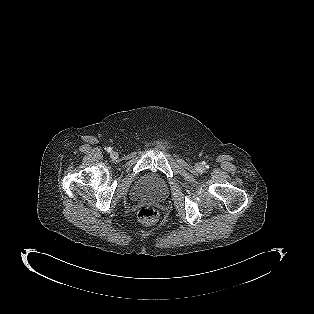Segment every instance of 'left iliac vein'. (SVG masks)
<instances>
[{"mask_svg":"<svg viewBox=\"0 0 314 314\" xmlns=\"http://www.w3.org/2000/svg\"><path fill=\"white\" fill-rule=\"evenodd\" d=\"M196 169H197V170H201V169H202V166H201L200 164H197V165H196Z\"/></svg>","mask_w":314,"mask_h":314,"instance_id":"left-iliac-vein-1","label":"left iliac vein"}]
</instances>
